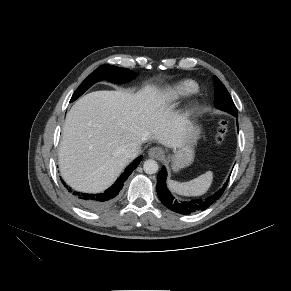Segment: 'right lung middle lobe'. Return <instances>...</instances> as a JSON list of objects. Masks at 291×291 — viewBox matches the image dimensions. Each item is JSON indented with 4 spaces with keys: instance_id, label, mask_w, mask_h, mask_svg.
<instances>
[{
    "instance_id": "dd1d6c3e",
    "label": "right lung middle lobe",
    "mask_w": 291,
    "mask_h": 291,
    "mask_svg": "<svg viewBox=\"0 0 291 291\" xmlns=\"http://www.w3.org/2000/svg\"><path fill=\"white\" fill-rule=\"evenodd\" d=\"M136 74L126 68L115 67L112 65H102L91 73L74 92L71 102L81 96L89 87L99 80L107 79L112 82H125L133 79Z\"/></svg>"
}]
</instances>
